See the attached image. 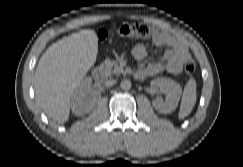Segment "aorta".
Segmentation results:
<instances>
[{"mask_svg":"<svg viewBox=\"0 0 243 167\" xmlns=\"http://www.w3.org/2000/svg\"><path fill=\"white\" fill-rule=\"evenodd\" d=\"M132 86V83L130 80H122L121 81V84H120V87L121 89L123 90H129Z\"/></svg>","mask_w":243,"mask_h":167,"instance_id":"762f6f07","label":"aorta"}]
</instances>
